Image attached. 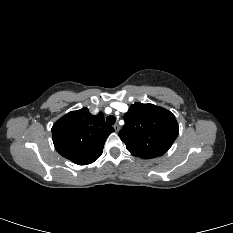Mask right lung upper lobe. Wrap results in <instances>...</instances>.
I'll return each instance as SVG.
<instances>
[{
	"label": "right lung upper lobe",
	"mask_w": 233,
	"mask_h": 233,
	"mask_svg": "<svg viewBox=\"0 0 233 233\" xmlns=\"http://www.w3.org/2000/svg\"><path fill=\"white\" fill-rule=\"evenodd\" d=\"M114 129L104 115L89 113L87 108L71 111L52 127L53 143L60 155L78 165L93 163L103 152L106 138Z\"/></svg>",
	"instance_id": "cb5924a9"
}]
</instances>
